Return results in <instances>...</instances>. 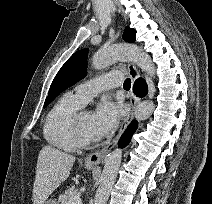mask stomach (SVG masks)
Segmentation results:
<instances>
[{"label":"stomach","mask_w":212,"mask_h":204,"mask_svg":"<svg viewBox=\"0 0 212 204\" xmlns=\"http://www.w3.org/2000/svg\"><path fill=\"white\" fill-rule=\"evenodd\" d=\"M87 169H93L92 166H87L86 167ZM43 204H59L58 201L54 200V199H48V200H45Z\"/></svg>","instance_id":"1"}]
</instances>
